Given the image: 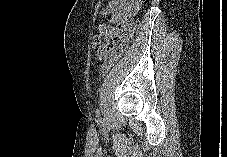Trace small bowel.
<instances>
[{
    "instance_id": "obj_1",
    "label": "small bowel",
    "mask_w": 227,
    "mask_h": 157,
    "mask_svg": "<svg viewBox=\"0 0 227 157\" xmlns=\"http://www.w3.org/2000/svg\"><path fill=\"white\" fill-rule=\"evenodd\" d=\"M142 0H111L101 11L103 16H109L118 24L116 37L124 34L130 24L131 17L138 11Z\"/></svg>"
}]
</instances>
